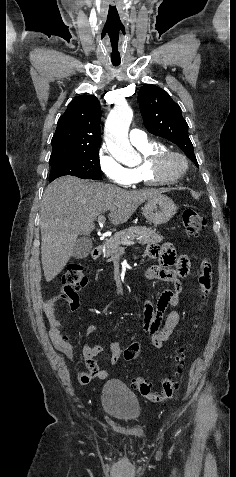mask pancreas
Instances as JSON below:
<instances>
[{
  "label": "pancreas",
  "mask_w": 236,
  "mask_h": 477,
  "mask_svg": "<svg viewBox=\"0 0 236 477\" xmlns=\"http://www.w3.org/2000/svg\"><path fill=\"white\" fill-rule=\"evenodd\" d=\"M136 240L138 243L156 244L160 243L163 238L155 229L147 228L144 226H132L128 229L117 232L114 236L106 240L104 246V257H112L121 251V242L125 240Z\"/></svg>",
  "instance_id": "1"
}]
</instances>
